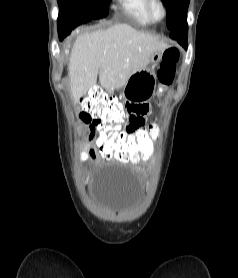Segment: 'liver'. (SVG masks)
Here are the masks:
<instances>
[{"instance_id": "obj_1", "label": "liver", "mask_w": 238, "mask_h": 278, "mask_svg": "<svg viewBox=\"0 0 238 278\" xmlns=\"http://www.w3.org/2000/svg\"><path fill=\"white\" fill-rule=\"evenodd\" d=\"M166 47L158 36L137 31L125 23L80 33L68 63L74 102L96 85L98 74L101 86L113 93L132 74L146 68L155 51L163 52Z\"/></svg>"}]
</instances>
